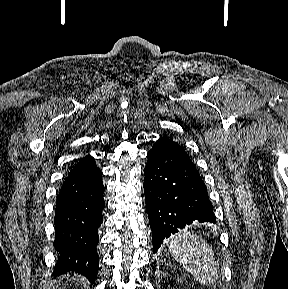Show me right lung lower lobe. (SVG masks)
Masks as SVG:
<instances>
[{"mask_svg": "<svg viewBox=\"0 0 288 289\" xmlns=\"http://www.w3.org/2000/svg\"><path fill=\"white\" fill-rule=\"evenodd\" d=\"M102 172L91 156L78 161L60 189L55 208L54 275L78 272L92 283L98 272V228L103 222Z\"/></svg>", "mask_w": 288, "mask_h": 289, "instance_id": "obj_1", "label": "right lung lower lobe"}]
</instances>
